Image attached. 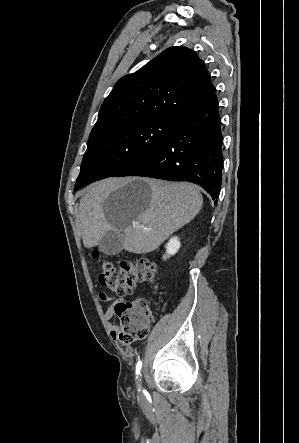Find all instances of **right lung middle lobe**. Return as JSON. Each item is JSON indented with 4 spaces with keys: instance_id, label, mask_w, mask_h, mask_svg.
<instances>
[{
    "instance_id": "1",
    "label": "right lung middle lobe",
    "mask_w": 299,
    "mask_h": 443,
    "mask_svg": "<svg viewBox=\"0 0 299 443\" xmlns=\"http://www.w3.org/2000/svg\"><path fill=\"white\" fill-rule=\"evenodd\" d=\"M176 118H145L91 136L75 190L119 176L157 149L174 131Z\"/></svg>"
}]
</instances>
